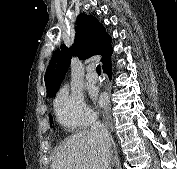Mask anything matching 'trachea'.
<instances>
[{
  "label": "trachea",
  "instance_id": "3493384b",
  "mask_svg": "<svg viewBox=\"0 0 177 169\" xmlns=\"http://www.w3.org/2000/svg\"><path fill=\"white\" fill-rule=\"evenodd\" d=\"M96 71H97V73H101V67H100V65H97Z\"/></svg>",
  "mask_w": 177,
  "mask_h": 169
}]
</instances>
